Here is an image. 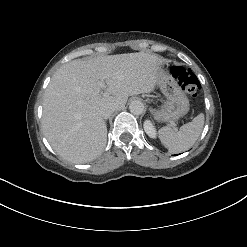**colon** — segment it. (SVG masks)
Here are the masks:
<instances>
[{
	"mask_svg": "<svg viewBox=\"0 0 247 247\" xmlns=\"http://www.w3.org/2000/svg\"><path fill=\"white\" fill-rule=\"evenodd\" d=\"M173 77L183 90L192 98H196L200 91V83L196 75L188 68L174 66L171 69Z\"/></svg>",
	"mask_w": 247,
	"mask_h": 247,
	"instance_id": "5ec220e1",
	"label": "colon"
}]
</instances>
